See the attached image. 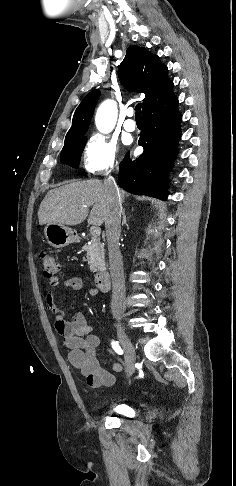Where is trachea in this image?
Instances as JSON below:
<instances>
[{
	"mask_svg": "<svg viewBox=\"0 0 236 486\" xmlns=\"http://www.w3.org/2000/svg\"><path fill=\"white\" fill-rule=\"evenodd\" d=\"M135 118L142 119L141 117V103H138L135 107Z\"/></svg>",
	"mask_w": 236,
	"mask_h": 486,
	"instance_id": "obj_1",
	"label": "trachea"
}]
</instances>
